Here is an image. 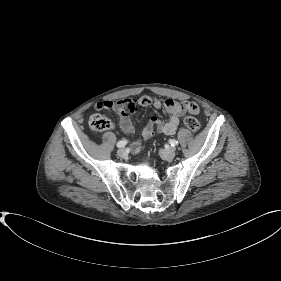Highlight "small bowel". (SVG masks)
<instances>
[{
    "label": "small bowel",
    "mask_w": 281,
    "mask_h": 281,
    "mask_svg": "<svg viewBox=\"0 0 281 281\" xmlns=\"http://www.w3.org/2000/svg\"><path fill=\"white\" fill-rule=\"evenodd\" d=\"M186 101H175L167 99L164 102L154 100L150 96L144 95L139 99L126 98L117 101H102L95 105L96 111L111 109L119 115V125L121 131L130 135L134 132V127L128 116V112H133L138 106L149 107L153 106L155 109H164L168 117L166 121H161L156 115H152L150 122L144 127L142 131V140L135 141L132 144V152L138 154L143 150V140H148L154 135V128L162 134H175L180 117L186 112L190 111ZM191 112V111H190Z\"/></svg>",
    "instance_id": "small-bowel-1"
}]
</instances>
